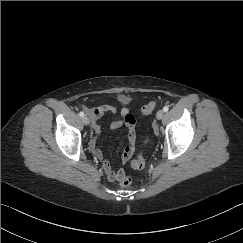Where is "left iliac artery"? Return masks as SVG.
<instances>
[{
	"mask_svg": "<svg viewBox=\"0 0 243 243\" xmlns=\"http://www.w3.org/2000/svg\"><path fill=\"white\" fill-rule=\"evenodd\" d=\"M168 110H169V107H168V106H164V107H163V111H164V112H167Z\"/></svg>",
	"mask_w": 243,
	"mask_h": 243,
	"instance_id": "1",
	"label": "left iliac artery"
}]
</instances>
